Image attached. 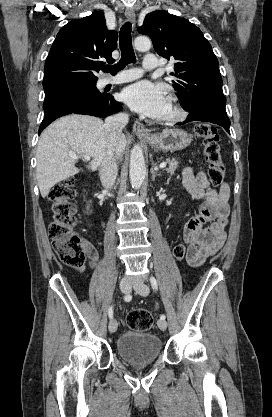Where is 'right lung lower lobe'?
Here are the masks:
<instances>
[{
	"label": "right lung lower lobe",
	"instance_id": "right-lung-lower-lobe-1",
	"mask_svg": "<svg viewBox=\"0 0 272 417\" xmlns=\"http://www.w3.org/2000/svg\"><path fill=\"white\" fill-rule=\"evenodd\" d=\"M122 109L121 104L110 94L93 99L84 96H71L58 99L44 108V119L39 127V134L55 119L71 114H85L105 117Z\"/></svg>",
	"mask_w": 272,
	"mask_h": 417
}]
</instances>
